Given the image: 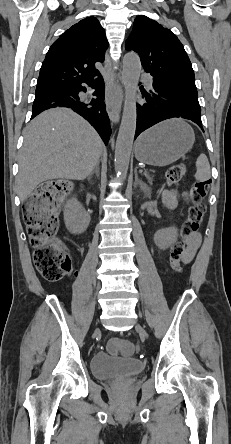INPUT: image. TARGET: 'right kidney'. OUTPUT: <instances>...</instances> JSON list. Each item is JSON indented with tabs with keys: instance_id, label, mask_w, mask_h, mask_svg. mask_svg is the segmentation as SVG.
Segmentation results:
<instances>
[{
	"instance_id": "ca27d5eb",
	"label": "right kidney",
	"mask_w": 231,
	"mask_h": 444,
	"mask_svg": "<svg viewBox=\"0 0 231 444\" xmlns=\"http://www.w3.org/2000/svg\"><path fill=\"white\" fill-rule=\"evenodd\" d=\"M64 221L69 232L81 234L87 229L90 216L76 198H71L64 207Z\"/></svg>"
}]
</instances>
